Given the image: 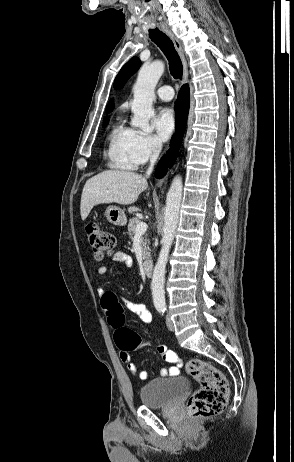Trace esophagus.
<instances>
[{"mask_svg":"<svg viewBox=\"0 0 294 462\" xmlns=\"http://www.w3.org/2000/svg\"><path fill=\"white\" fill-rule=\"evenodd\" d=\"M160 28L172 40L176 50L178 51V53L180 55L182 65H183V80H182V83H185L187 81V78H188V68H187V62H186L184 51H183V46L180 43V41L174 36L172 31L167 27V25L160 24ZM162 183H163V180L158 181L157 186L161 187Z\"/></svg>","mask_w":294,"mask_h":462,"instance_id":"1","label":"esophagus"}]
</instances>
